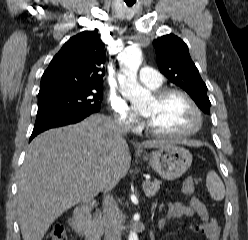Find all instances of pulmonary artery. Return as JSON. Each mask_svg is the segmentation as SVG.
<instances>
[{
  "instance_id": "obj_1",
  "label": "pulmonary artery",
  "mask_w": 248,
  "mask_h": 240,
  "mask_svg": "<svg viewBox=\"0 0 248 240\" xmlns=\"http://www.w3.org/2000/svg\"><path fill=\"white\" fill-rule=\"evenodd\" d=\"M139 79L142 83L152 89L158 88L163 83L161 74L150 67H142L140 69Z\"/></svg>"
}]
</instances>
